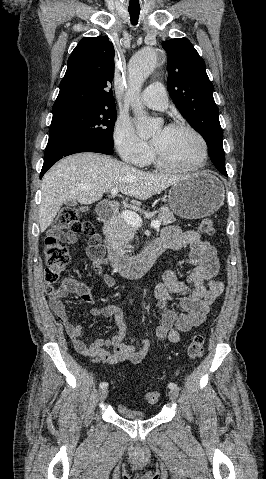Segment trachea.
Here are the masks:
<instances>
[{
	"label": "trachea",
	"mask_w": 266,
	"mask_h": 479,
	"mask_svg": "<svg viewBox=\"0 0 266 479\" xmlns=\"http://www.w3.org/2000/svg\"><path fill=\"white\" fill-rule=\"evenodd\" d=\"M128 11H129V14H130V19H131L132 25H136L137 21H138V18H139V14H140V9L129 8Z\"/></svg>",
	"instance_id": "obj_1"
}]
</instances>
